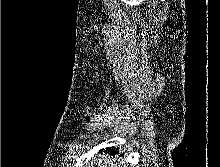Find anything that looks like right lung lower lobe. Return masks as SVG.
<instances>
[{
  "label": "right lung lower lobe",
  "instance_id": "right-lung-lower-lobe-1",
  "mask_svg": "<svg viewBox=\"0 0 220 167\" xmlns=\"http://www.w3.org/2000/svg\"><path fill=\"white\" fill-rule=\"evenodd\" d=\"M107 150H109L112 154H115L116 152H115V149L114 150H110V148H107Z\"/></svg>",
  "mask_w": 220,
  "mask_h": 167
}]
</instances>
